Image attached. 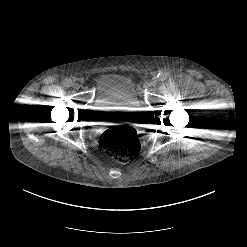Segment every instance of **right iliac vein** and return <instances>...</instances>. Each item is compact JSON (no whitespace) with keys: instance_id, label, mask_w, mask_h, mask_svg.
<instances>
[{"instance_id":"1","label":"right iliac vein","mask_w":247,"mask_h":247,"mask_svg":"<svg viewBox=\"0 0 247 247\" xmlns=\"http://www.w3.org/2000/svg\"><path fill=\"white\" fill-rule=\"evenodd\" d=\"M72 87L74 89H79L80 88V85L78 83H73Z\"/></svg>"}]
</instances>
